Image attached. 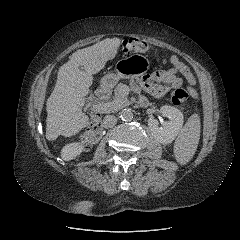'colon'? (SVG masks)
I'll use <instances>...</instances> for the list:
<instances>
[{
  "mask_svg": "<svg viewBox=\"0 0 240 240\" xmlns=\"http://www.w3.org/2000/svg\"><path fill=\"white\" fill-rule=\"evenodd\" d=\"M122 51L125 54L137 53V52H149L152 47L148 42L140 38H128L122 41ZM192 94V93H191ZM189 99V93L184 89L175 90L170 98L173 105L179 106L184 104ZM100 136V122L96 118L90 125V127L82 134L81 143L84 148H90L96 143Z\"/></svg>",
  "mask_w": 240,
  "mask_h": 240,
  "instance_id": "colon-1",
  "label": "colon"
}]
</instances>
